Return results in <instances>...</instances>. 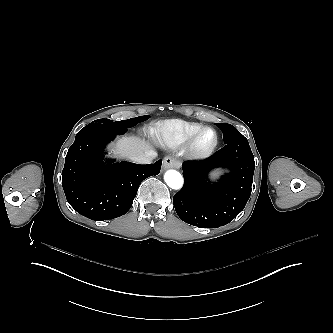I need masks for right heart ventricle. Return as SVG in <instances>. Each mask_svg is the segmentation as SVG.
<instances>
[{
	"mask_svg": "<svg viewBox=\"0 0 333 333\" xmlns=\"http://www.w3.org/2000/svg\"><path fill=\"white\" fill-rule=\"evenodd\" d=\"M200 127L202 125L198 122L171 120L159 125L153 131V135L162 144L177 148L183 145L190 135Z\"/></svg>",
	"mask_w": 333,
	"mask_h": 333,
	"instance_id": "obj_1",
	"label": "right heart ventricle"
}]
</instances>
